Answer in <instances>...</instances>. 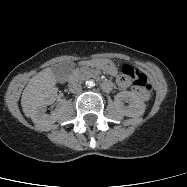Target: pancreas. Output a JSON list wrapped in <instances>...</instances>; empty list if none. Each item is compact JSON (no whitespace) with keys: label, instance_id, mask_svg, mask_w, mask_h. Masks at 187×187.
<instances>
[{"label":"pancreas","instance_id":"obj_1","mask_svg":"<svg viewBox=\"0 0 187 187\" xmlns=\"http://www.w3.org/2000/svg\"><path fill=\"white\" fill-rule=\"evenodd\" d=\"M75 77L80 80H86L95 76L94 70L88 66L77 68L74 73Z\"/></svg>","mask_w":187,"mask_h":187}]
</instances>
